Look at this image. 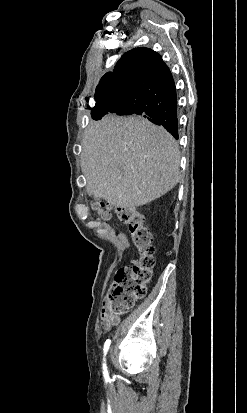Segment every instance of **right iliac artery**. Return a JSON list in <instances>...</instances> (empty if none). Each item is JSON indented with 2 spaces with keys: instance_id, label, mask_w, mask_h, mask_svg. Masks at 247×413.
Instances as JSON below:
<instances>
[{
  "instance_id": "right-iliac-artery-1",
  "label": "right iliac artery",
  "mask_w": 247,
  "mask_h": 413,
  "mask_svg": "<svg viewBox=\"0 0 247 413\" xmlns=\"http://www.w3.org/2000/svg\"><path fill=\"white\" fill-rule=\"evenodd\" d=\"M110 344H111V340H110V339H107L106 342H105V344H104V356L107 354V351H108V349H109V347H110ZM104 361H105V358H104ZM103 370H104V371H103L104 376H105V377L108 376L106 363H103Z\"/></svg>"
}]
</instances>
